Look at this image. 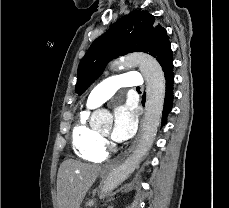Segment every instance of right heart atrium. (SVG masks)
I'll return each mask as SVG.
<instances>
[{"instance_id":"right-heart-atrium-1","label":"right heart atrium","mask_w":229,"mask_h":208,"mask_svg":"<svg viewBox=\"0 0 229 208\" xmlns=\"http://www.w3.org/2000/svg\"><path fill=\"white\" fill-rule=\"evenodd\" d=\"M101 146L103 149H105L109 146V142L105 139H102Z\"/></svg>"}]
</instances>
